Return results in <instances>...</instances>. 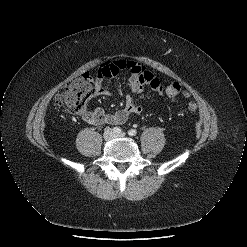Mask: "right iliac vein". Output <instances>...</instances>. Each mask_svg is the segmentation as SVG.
I'll return each instance as SVG.
<instances>
[{
    "label": "right iliac vein",
    "mask_w": 247,
    "mask_h": 247,
    "mask_svg": "<svg viewBox=\"0 0 247 247\" xmlns=\"http://www.w3.org/2000/svg\"><path fill=\"white\" fill-rule=\"evenodd\" d=\"M114 138V132L111 129H108L104 132V139L106 141H110Z\"/></svg>",
    "instance_id": "63e3f726"
}]
</instances>
